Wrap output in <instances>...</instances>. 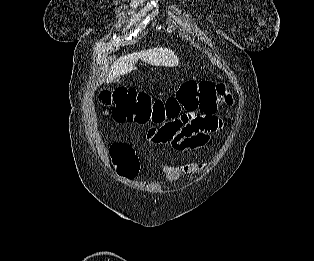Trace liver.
Masks as SVG:
<instances>
[{"label":"liver","mask_w":314,"mask_h":261,"mask_svg":"<svg viewBox=\"0 0 314 261\" xmlns=\"http://www.w3.org/2000/svg\"><path fill=\"white\" fill-rule=\"evenodd\" d=\"M139 59L154 66L174 67L179 64V58L169 48L155 47L140 52H133L121 56L112 64L106 81L112 82L114 78L130 73L136 69L135 64Z\"/></svg>","instance_id":"obj_1"}]
</instances>
